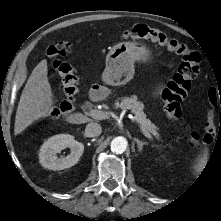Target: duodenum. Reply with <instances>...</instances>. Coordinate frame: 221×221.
<instances>
[{"mask_svg": "<svg viewBox=\"0 0 221 221\" xmlns=\"http://www.w3.org/2000/svg\"><path fill=\"white\" fill-rule=\"evenodd\" d=\"M101 94H103V88L102 87H97L95 90H93L90 93V98L92 100H98Z\"/></svg>", "mask_w": 221, "mask_h": 221, "instance_id": "410a0bca", "label": "duodenum"}]
</instances>
